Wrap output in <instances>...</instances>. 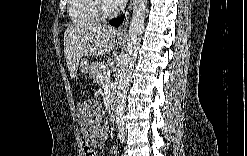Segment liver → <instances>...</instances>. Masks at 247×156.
I'll list each match as a JSON object with an SVG mask.
<instances>
[{"mask_svg": "<svg viewBox=\"0 0 247 156\" xmlns=\"http://www.w3.org/2000/svg\"><path fill=\"white\" fill-rule=\"evenodd\" d=\"M116 29L99 23L69 26L64 33V54L70 77H76L83 56L109 54L115 44Z\"/></svg>", "mask_w": 247, "mask_h": 156, "instance_id": "obj_1", "label": "liver"}]
</instances>
